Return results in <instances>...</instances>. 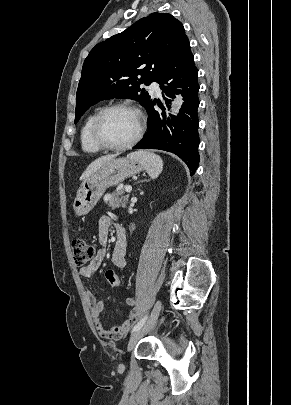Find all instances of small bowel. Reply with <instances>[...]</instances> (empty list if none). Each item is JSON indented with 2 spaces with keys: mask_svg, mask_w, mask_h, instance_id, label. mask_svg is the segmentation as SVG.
I'll use <instances>...</instances> for the list:
<instances>
[{
  "mask_svg": "<svg viewBox=\"0 0 291 405\" xmlns=\"http://www.w3.org/2000/svg\"><path fill=\"white\" fill-rule=\"evenodd\" d=\"M112 225L113 219L110 216L104 215L100 218L98 225V240L102 246L106 245L108 242L109 230ZM115 230L116 239L111 255V261L115 266L123 268L126 265V235L124 229L119 225H115ZM105 255V250L100 249L87 265L80 268V275L83 277H91L101 266ZM86 297L88 304L90 305L91 316L95 323L97 332L102 338L106 340L121 339L129 331V329L133 326V324L139 317V308L137 302L133 298H127V305L132 307V312L130 313L129 317L121 325L111 329H107L102 324L100 319V315L104 309V303L98 301L91 292H87Z\"/></svg>",
  "mask_w": 291,
  "mask_h": 405,
  "instance_id": "small-bowel-1",
  "label": "small bowel"
}]
</instances>
